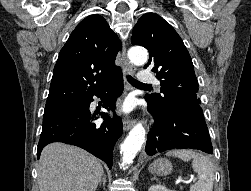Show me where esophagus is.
Returning a JSON list of instances; mask_svg holds the SVG:
<instances>
[{
    "mask_svg": "<svg viewBox=\"0 0 251 191\" xmlns=\"http://www.w3.org/2000/svg\"><path fill=\"white\" fill-rule=\"evenodd\" d=\"M121 55H122V59H123V63L125 65L126 71L128 73H135V67L127 59L125 44H123ZM134 124H135V120L134 119H132V118H126V119H124V121H123L124 130L125 131L130 130Z\"/></svg>",
    "mask_w": 251,
    "mask_h": 191,
    "instance_id": "esophagus-1",
    "label": "esophagus"
}]
</instances>
